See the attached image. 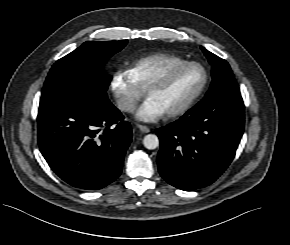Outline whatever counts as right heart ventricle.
Returning <instances> with one entry per match:
<instances>
[{
  "label": "right heart ventricle",
  "mask_w": 290,
  "mask_h": 245,
  "mask_svg": "<svg viewBox=\"0 0 290 245\" xmlns=\"http://www.w3.org/2000/svg\"><path fill=\"white\" fill-rule=\"evenodd\" d=\"M186 62L180 56L174 54L159 53L141 58L134 62L130 71L141 88H145L149 82L168 67Z\"/></svg>",
  "instance_id": "right-heart-ventricle-1"
}]
</instances>
